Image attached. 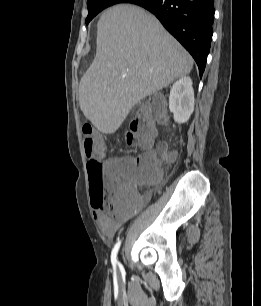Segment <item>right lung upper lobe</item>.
<instances>
[{"label": "right lung upper lobe", "instance_id": "right-lung-upper-lobe-1", "mask_svg": "<svg viewBox=\"0 0 261 306\" xmlns=\"http://www.w3.org/2000/svg\"><path fill=\"white\" fill-rule=\"evenodd\" d=\"M128 2H124V3H130L131 1H134V0H127Z\"/></svg>", "mask_w": 261, "mask_h": 306}]
</instances>
